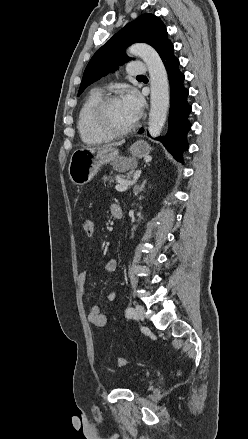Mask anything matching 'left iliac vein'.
Masks as SVG:
<instances>
[{
  "label": "left iliac vein",
  "mask_w": 248,
  "mask_h": 439,
  "mask_svg": "<svg viewBox=\"0 0 248 439\" xmlns=\"http://www.w3.org/2000/svg\"><path fill=\"white\" fill-rule=\"evenodd\" d=\"M144 314H145V309L144 307H142L141 305H137L135 308V313L133 315V318L139 321H143L144 320Z\"/></svg>",
  "instance_id": "4c4485c4"
}]
</instances>
